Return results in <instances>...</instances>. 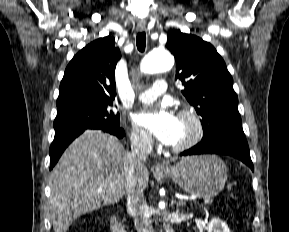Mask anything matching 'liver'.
I'll list each match as a JSON object with an SVG mask.
<instances>
[{"instance_id": "6515ba94", "label": "liver", "mask_w": 289, "mask_h": 232, "mask_svg": "<svg viewBox=\"0 0 289 232\" xmlns=\"http://www.w3.org/2000/svg\"><path fill=\"white\" fill-rule=\"evenodd\" d=\"M127 153L115 136L94 130L85 131L69 145L49 180L55 232H66L79 216L117 203L126 195ZM134 175L137 187L145 189L147 168L136 167Z\"/></svg>"}]
</instances>
